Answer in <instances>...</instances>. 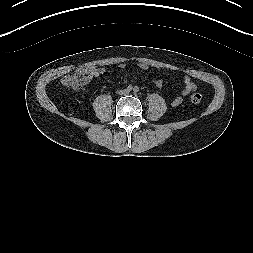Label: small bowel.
<instances>
[{
    "label": "small bowel",
    "instance_id": "obj_1",
    "mask_svg": "<svg viewBox=\"0 0 253 253\" xmlns=\"http://www.w3.org/2000/svg\"><path fill=\"white\" fill-rule=\"evenodd\" d=\"M142 67H146V63L142 64ZM102 73L101 69L98 68H93L92 72H91V76L90 77H96L99 76ZM183 83H184V88L182 91V95L185 96L187 94H189L192 90H194L196 88L194 82L192 81V77L190 75H185L183 78ZM180 99L178 98L176 100V102H179Z\"/></svg>",
    "mask_w": 253,
    "mask_h": 253
}]
</instances>
